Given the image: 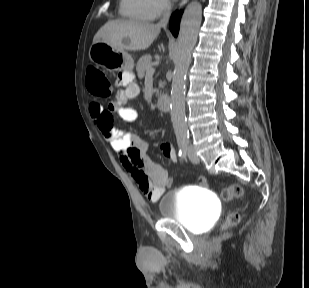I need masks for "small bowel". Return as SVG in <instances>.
Wrapping results in <instances>:
<instances>
[{
  "label": "small bowel",
  "mask_w": 309,
  "mask_h": 288,
  "mask_svg": "<svg viewBox=\"0 0 309 288\" xmlns=\"http://www.w3.org/2000/svg\"><path fill=\"white\" fill-rule=\"evenodd\" d=\"M118 83L122 88L117 92L115 101L107 109L99 103H91L90 114L103 139L119 154L123 168L143 194L151 202H156L168 186V173L150 161L147 156L148 144L144 139L129 130L114 127V114L125 122H136L139 119L138 112L126 106L129 100L138 95V85L126 75L120 76ZM161 152L170 161H177L176 151L171 144L163 143Z\"/></svg>",
  "instance_id": "obj_1"
}]
</instances>
